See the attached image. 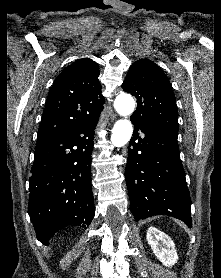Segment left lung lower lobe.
Masks as SVG:
<instances>
[{"label":"left lung lower lobe","instance_id":"1","mask_svg":"<svg viewBox=\"0 0 221 278\" xmlns=\"http://www.w3.org/2000/svg\"><path fill=\"white\" fill-rule=\"evenodd\" d=\"M134 124L125 179L136 221L165 214L191 227V199L178 148V130ZM143 135L140 137L139 132Z\"/></svg>","mask_w":221,"mask_h":278}]
</instances>
